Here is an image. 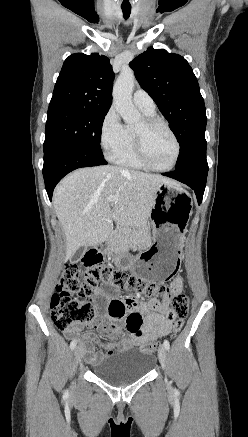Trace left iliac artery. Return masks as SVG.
Here are the masks:
<instances>
[{
	"instance_id": "left-iliac-artery-1",
	"label": "left iliac artery",
	"mask_w": 248,
	"mask_h": 437,
	"mask_svg": "<svg viewBox=\"0 0 248 437\" xmlns=\"http://www.w3.org/2000/svg\"><path fill=\"white\" fill-rule=\"evenodd\" d=\"M163 345H164V347H165L166 350H169V349H170V344H169V341H168V340H165L164 343H163Z\"/></svg>"
}]
</instances>
